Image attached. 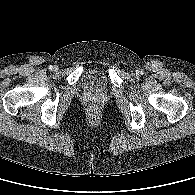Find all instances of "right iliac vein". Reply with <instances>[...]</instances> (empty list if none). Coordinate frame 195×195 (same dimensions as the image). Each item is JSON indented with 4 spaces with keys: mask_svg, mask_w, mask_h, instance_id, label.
<instances>
[{
    "mask_svg": "<svg viewBox=\"0 0 195 195\" xmlns=\"http://www.w3.org/2000/svg\"><path fill=\"white\" fill-rule=\"evenodd\" d=\"M53 69H54V71H58V67L57 66H55Z\"/></svg>",
    "mask_w": 195,
    "mask_h": 195,
    "instance_id": "1",
    "label": "right iliac vein"
}]
</instances>
